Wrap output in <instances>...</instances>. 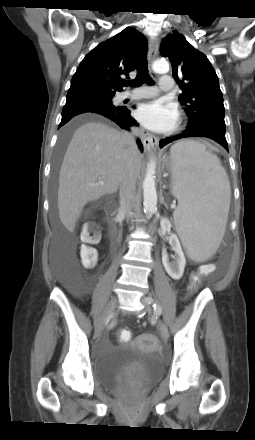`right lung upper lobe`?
<instances>
[{
    "label": "right lung upper lobe",
    "mask_w": 255,
    "mask_h": 440,
    "mask_svg": "<svg viewBox=\"0 0 255 440\" xmlns=\"http://www.w3.org/2000/svg\"><path fill=\"white\" fill-rule=\"evenodd\" d=\"M146 49L147 39L131 27L100 43L78 66L67 100L122 91L121 75L128 77L129 72L135 70L136 60Z\"/></svg>",
    "instance_id": "cb5924a9"
}]
</instances>
